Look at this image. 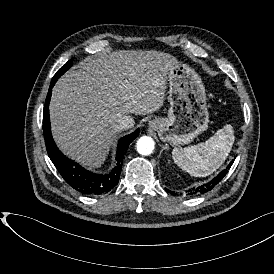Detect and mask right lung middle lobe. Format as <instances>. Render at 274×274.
I'll return each mask as SVG.
<instances>
[{"label": "right lung middle lobe", "mask_w": 274, "mask_h": 274, "mask_svg": "<svg viewBox=\"0 0 274 274\" xmlns=\"http://www.w3.org/2000/svg\"><path fill=\"white\" fill-rule=\"evenodd\" d=\"M72 61L73 58L70 59L62 68H60L54 75L53 79H58L61 75H63L72 66Z\"/></svg>", "instance_id": "1"}]
</instances>
